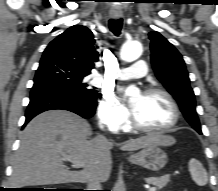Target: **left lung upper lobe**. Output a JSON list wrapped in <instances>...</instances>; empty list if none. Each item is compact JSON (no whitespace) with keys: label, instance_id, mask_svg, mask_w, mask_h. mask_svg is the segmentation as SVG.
<instances>
[{"label":"left lung upper lobe","instance_id":"1","mask_svg":"<svg viewBox=\"0 0 218 191\" xmlns=\"http://www.w3.org/2000/svg\"><path fill=\"white\" fill-rule=\"evenodd\" d=\"M149 39L151 62L156 77L177 100L190 125L202 134L196 113L195 95L190 87V79L182 55L159 32H150Z\"/></svg>","mask_w":218,"mask_h":191}]
</instances>
